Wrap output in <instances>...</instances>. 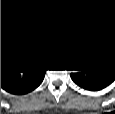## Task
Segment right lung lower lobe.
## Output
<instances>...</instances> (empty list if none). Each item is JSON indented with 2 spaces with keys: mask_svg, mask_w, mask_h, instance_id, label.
I'll use <instances>...</instances> for the list:
<instances>
[{
  "mask_svg": "<svg viewBox=\"0 0 115 114\" xmlns=\"http://www.w3.org/2000/svg\"><path fill=\"white\" fill-rule=\"evenodd\" d=\"M49 62L43 59L1 57V88L11 94H26L44 79Z\"/></svg>",
  "mask_w": 115,
  "mask_h": 114,
  "instance_id": "98d812e1",
  "label": "right lung lower lobe"
}]
</instances>
